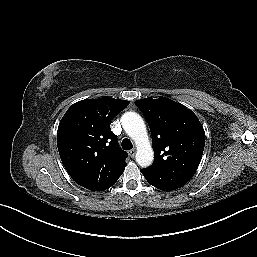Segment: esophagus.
I'll return each mask as SVG.
<instances>
[{
  "instance_id": "34e87169",
  "label": "esophagus",
  "mask_w": 257,
  "mask_h": 257,
  "mask_svg": "<svg viewBox=\"0 0 257 257\" xmlns=\"http://www.w3.org/2000/svg\"><path fill=\"white\" fill-rule=\"evenodd\" d=\"M136 150L135 149H131L128 151V154L131 158H133L135 156Z\"/></svg>"
}]
</instances>
